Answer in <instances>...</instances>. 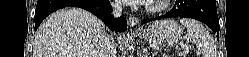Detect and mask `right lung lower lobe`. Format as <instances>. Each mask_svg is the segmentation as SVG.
I'll return each instance as SVG.
<instances>
[{"label":"right lung lower lobe","mask_w":249,"mask_h":57,"mask_svg":"<svg viewBox=\"0 0 249 57\" xmlns=\"http://www.w3.org/2000/svg\"><path fill=\"white\" fill-rule=\"evenodd\" d=\"M75 6L90 11L99 17L110 29L116 32H124L127 28V21L124 16L114 19L111 15L109 0H38L35 11V29L52 12Z\"/></svg>","instance_id":"98d812e1"}]
</instances>
